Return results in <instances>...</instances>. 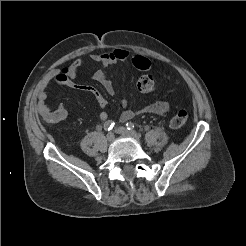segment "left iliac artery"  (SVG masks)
<instances>
[{"mask_svg": "<svg viewBox=\"0 0 246 246\" xmlns=\"http://www.w3.org/2000/svg\"><path fill=\"white\" fill-rule=\"evenodd\" d=\"M126 127H127V129L130 130V131H134V128H135V126H134V124H133L132 122H128V123L126 124Z\"/></svg>", "mask_w": 246, "mask_h": 246, "instance_id": "obj_1", "label": "left iliac artery"}]
</instances>
